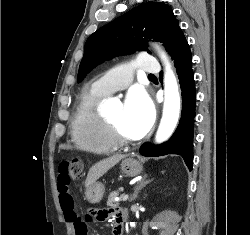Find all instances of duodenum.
<instances>
[{
	"mask_svg": "<svg viewBox=\"0 0 250 235\" xmlns=\"http://www.w3.org/2000/svg\"><path fill=\"white\" fill-rule=\"evenodd\" d=\"M126 221V215L124 212H120L116 217L117 230L116 233L121 235L123 224Z\"/></svg>",
	"mask_w": 250,
	"mask_h": 235,
	"instance_id": "obj_1",
	"label": "duodenum"
}]
</instances>
